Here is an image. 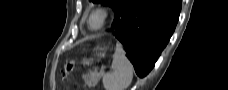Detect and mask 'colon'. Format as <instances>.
<instances>
[{
	"instance_id": "colon-1",
	"label": "colon",
	"mask_w": 228,
	"mask_h": 90,
	"mask_svg": "<svg viewBox=\"0 0 228 90\" xmlns=\"http://www.w3.org/2000/svg\"><path fill=\"white\" fill-rule=\"evenodd\" d=\"M74 65H75V61L74 60L69 61L65 65V67L63 68V72H62L64 79H67L68 78V76H69L71 70L73 69Z\"/></svg>"
}]
</instances>
